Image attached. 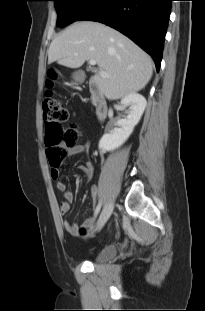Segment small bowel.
Returning a JSON list of instances; mask_svg holds the SVG:
<instances>
[{
	"mask_svg": "<svg viewBox=\"0 0 205 311\" xmlns=\"http://www.w3.org/2000/svg\"><path fill=\"white\" fill-rule=\"evenodd\" d=\"M90 149L89 142H84L82 144H78L76 147L70 149L69 155H79V154H88ZM81 170L84 172L87 180L91 179L94 173V164L93 161L88 158L83 165L80 166ZM51 176L56 180V188L63 195L64 201L59 203V211L61 215H66L70 210V204L74 199L73 193L67 188V185L59 180V173L51 170ZM90 195L93 200L96 199L97 196V187L92 186L90 188ZM96 210V209H95ZM95 222V215L86 219L82 225H77L75 223H71L68 220L63 221V226L71 234H78L80 228L92 227Z\"/></svg>",
	"mask_w": 205,
	"mask_h": 311,
	"instance_id": "1",
	"label": "small bowel"
}]
</instances>
